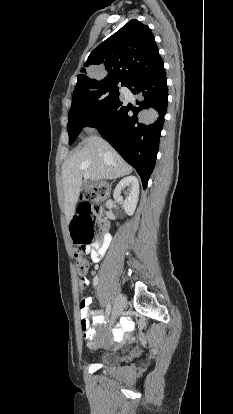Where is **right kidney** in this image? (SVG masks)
Wrapping results in <instances>:
<instances>
[{"mask_svg":"<svg viewBox=\"0 0 233 414\" xmlns=\"http://www.w3.org/2000/svg\"><path fill=\"white\" fill-rule=\"evenodd\" d=\"M128 187L129 194L124 200L121 193ZM114 199L122 205V208L128 215H133L139 198V182L135 176L123 178L116 186L113 194Z\"/></svg>","mask_w":233,"mask_h":414,"instance_id":"right-kidney-1","label":"right kidney"}]
</instances>
